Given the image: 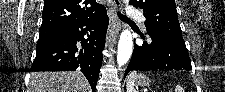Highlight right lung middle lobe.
<instances>
[{
	"instance_id": "1",
	"label": "right lung middle lobe",
	"mask_w": 225,
	"mask_h": 92,
	"mask_svg": "<svg viewBox=\"0 0 225 92\" xmlns=\"http://www.w3.org/2000/svg\"><path fill=\"white\" fill-rule=\"evenodd\" d=\"M66 29L63 28H45V29H39V40H45L52 37H58L62 36L64 34Z\"/></svg>"
}]
</instances>
